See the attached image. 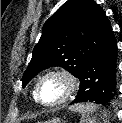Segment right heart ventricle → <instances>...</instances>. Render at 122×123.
I'll list each match as a JSON object with an SVG mask.
<instances>
[{"label": "right heart ventricle", "instance_id": "right-heart-ventricle-1", "mask_svg": "<svg viewBox=\"0 0 122 123\" xmlns=\"http://www.w3.org/2000/svg\"><path fill=\"white\" fill-rule=\"evenodd\" d=\"M35 88H36V86L33 87V90H32V97H33V99L36 101Z\"/></svg>", "mask_w": 122, "mask_h": 123}]
</instances>
